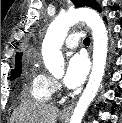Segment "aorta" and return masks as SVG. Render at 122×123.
Segmentation results:
<instances>
[{
	"label": "aorta",
	"mask_w": 122,
	"mask_h": 123,
	"mask_svg": "<svg viewBox=\"0 0 122 123\" xmlns=\"http://www.w3.org/2000/svg\"><path fill=\"white\" fill-rule=\"evenodd\" d=\"M79 21H85L93 33V66L88 84L74 109L70 123H81L102 82L107 57L106 27L96 11L79 8L55 18L42 46L43 60L48 71L54 75L62 73L64 58L60 49L69 28Z\"/></svg>",
	"instance_id": "1"
}]
</instances>
